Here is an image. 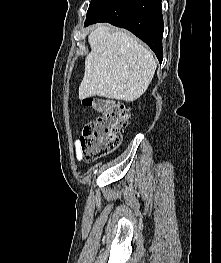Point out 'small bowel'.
<instances>
[{
	"instance_id": "1",
	"label": "small bowel",
	"mask_w": 221,
	"mask_h": 263,
	"mask_svg": "<svg viewBox=\"0 0 221 263\" xmlns=\"http://www.w3.org/2000/svg\"><path fill=\"white\" fill-rule=\"evenodd\" d=\"M82 139H79L75 143V158L77 160L83 159V153H82Z\"/></svg>"
}]
</instances>
